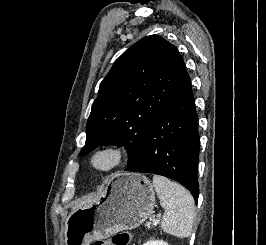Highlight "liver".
<instances>
[{
    "label": "liver",
    "mask_w": 266,
    "mask_h": 245,
    "mask_svg": "<svg viewBox=\"0 0 266 245\" xmlns=\"http://www.w3.org/2000/svg\"><path fill=\"white\" fill-rule=\"evenodd\" d=\"M103 195V193H102ZM101 195V197H102ZM97 199H99V197H97ZM92 201H94V199H85V201H81V203H79V205H77V207H74L73 211H77V209H80V207H88V205H92ZM95 203V201H94Z\"/></svg>",
    "instance_id": "liver-1"
}]
</instances>
